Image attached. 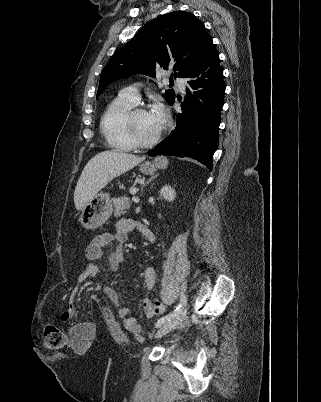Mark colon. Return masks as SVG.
Listing matches in <instances>:
<instances>
[{
  "mask_svg": "<svg viewBox=\"0 0 321 402\" xmlns=\"http://www.w3.org/2000/svg\"><path fill=\"white\" fill-rule=\"evenodd\" d=\"M166 310V306L162 301H155L153 311L157 314H162ZM42 344L46 350L55 351L64 347L65 334L54 324H47L43 329Z\"/></svg>",
  "mask_w": 321,
  "mask_h": 402,
  "instance_id": "colon-1",
  "label": "colon"
}]
</instances>
